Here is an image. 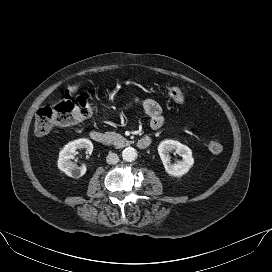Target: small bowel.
<instances>
[{"label": "small bowel", "instance_id": "obj_1", "mask_svg": "<svg viewBox=\"0 0 272 272\" xmlns=\"http://www.w3.org/2000/svg\"><path fill=\"white\" fill-rule=\"evenodd\" d=\"M144 111L150 117V127L153 130H158L164 123L162 108L158 102L153 99L145 98L140 100Z\"/></svg>", "mask_w": 272, "mask_h": 272}]
</instances>
